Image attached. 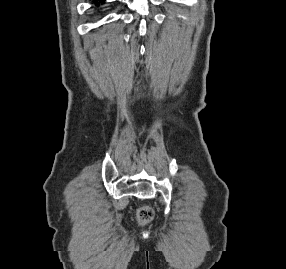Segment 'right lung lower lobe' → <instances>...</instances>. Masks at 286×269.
Masks as SVG:
<instances>
[{"label":"right lung lower lobe","mask_w":286,"mask_h":269,"mask_svg":"<svg viewBox=\"0 0 286 269\" xmlns=\"http://www.w3.org/2000/svg\"><path fill=\"white\" fill-rule=\"evenodd\" d=\"M93 1H94V3H95L96 5H99V4H98V1L102 3L104 0H93Z\"/></svg>","instance_id":"right-lung-lower-lobe-1"}]
</instances>
